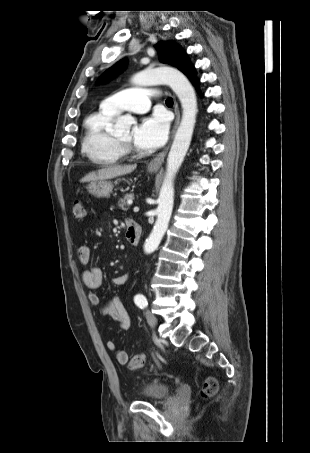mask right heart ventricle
<instances>
[{"instance_id":"obj_1","label":"right heart ventricle","mask_w":310,"mask_h":453,"mask_svg":"<svg viewBox=\"0 0 310 453\" xmlns=\"http://www.w3.org/2000/svg\"><path fill=\"white\" fill-rule=\"evenodd\" d=\"M115 113L100 109L84 121V134L81 142L82 153L95 165L112 166L124 158L122 149L109 132Z\"/></svg>"}]
</instances>
